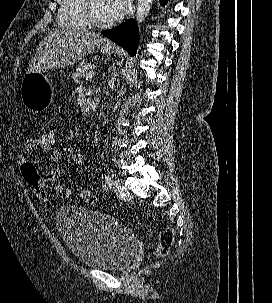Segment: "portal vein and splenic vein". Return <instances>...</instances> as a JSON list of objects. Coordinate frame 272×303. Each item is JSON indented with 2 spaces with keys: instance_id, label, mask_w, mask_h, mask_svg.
Masks as SVG:
<instances>
[{
  "instance_id": "1",
  "label": "portal vein and splenic vein",
  "mask_w": 272,
  "mask_h": 303,
  "mask_svg": "<svg viewBox=\"0 0 272 303\" xmlns=\"http://www.w3.org/2000/svg\"><path fill=\"white\" fill-rule=\"evenodd\" d=\"M95 72L94 71H90L87 75H86V80L92 79L94 76Z\"/></svg>"
}]
</instances>
